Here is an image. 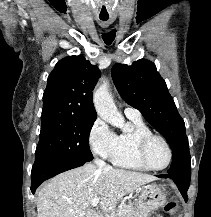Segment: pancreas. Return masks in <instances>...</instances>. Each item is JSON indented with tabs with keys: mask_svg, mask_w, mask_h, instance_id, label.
Returning <instances> with one entry per match:
<instances>
[{
	"mask_svg": "<svg viewBox=\"0 0 211 217\" xmlns=\"http://www.w3.org/2000/svg\"><path fill=\"white\" fill-rule=\"evenodd\" d=\"M112 217H137L136 202H129L113 212Z\"/></svg>",
	"mask_w": 211,
	"mask_h": 217,
	"instance_id": "1",
	"label": "pancreas"
}]
</instances>
